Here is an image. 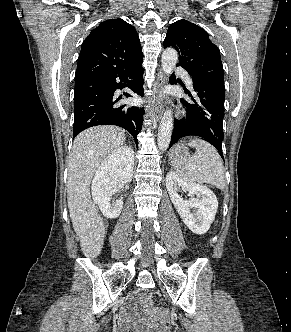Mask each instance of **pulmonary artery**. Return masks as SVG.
<instances>
[{
  "label": "pulmonary artery",
  "mask_w": 291,
  "mask_h": 332,
  "mask_svg": "<svg viewBox=\"0 0 291 332\" xmlns=\"http://www.w3.org/2000/svg\"><path fill=\"white\" fill-rule=\"evenodd\" d=\"M176 72L183 76L185 82L189 86H192V79H191V77L188 75V73L185 70H183L182 68H177Z\"/></svg>",
  "instance_id": "1"
}]
</instances>
